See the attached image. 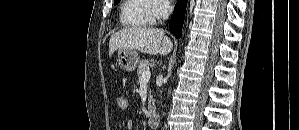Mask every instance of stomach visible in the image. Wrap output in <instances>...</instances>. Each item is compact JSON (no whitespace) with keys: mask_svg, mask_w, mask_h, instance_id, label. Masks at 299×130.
<instances>
[{"mask_svg":"<svg viewBox=\"0 0 299 130\" xmlns=\"http://www.w3.org/2000/svg\"><path fill=\"white\" fill-rule=\"evenodd\" d=\"M117 62L123 70L132 72L136 69L139 63V55L132 49H119Z\"/></svg>","mask_w":299,"mask_h":130,"instance_id":"1","label":"stomach"}]
</instances>
